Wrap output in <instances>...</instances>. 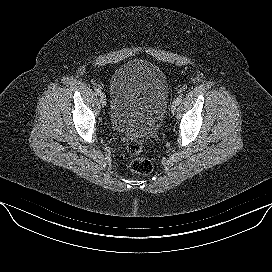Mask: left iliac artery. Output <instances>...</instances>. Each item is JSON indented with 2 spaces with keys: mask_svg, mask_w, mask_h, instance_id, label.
Wrapping results in <instances>:
<instances>
[{
  "mask_svg": "<svg viewBox=\"0 0 272 272\" xmlns=\"http://www.w3.org/2000/svg\"><path fill=\"white\" fill-rule=\"evenodd\" d=\"M181 101H182V95H179V96L176 98L175 102L177 103V105H179V104L181 103Z\"/></svg>",
  "mask_w": 272,
  "mask_h": 272,
  "instance_id": "44dca946",
  "label": "left iliac artery"
}]
</instances>
